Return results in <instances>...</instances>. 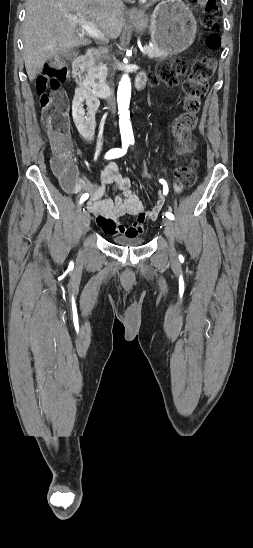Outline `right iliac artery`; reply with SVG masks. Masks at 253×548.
Here are the masks:
<instances>
[{
    "mask_svg": "<svg viewBox=\"0 0 253 548\" xmlns=\"http://www.w3.org/2000/svg\"><path fill=\"white\" fill-rule=\"evenodd\" d=\"M128 146H129L128 141L122 142V148H114L109 150L105 154V159L109 160V159H114V158L123 156L126 153ZM88 197H89V194L87 193L83 194L80 198V203H83L84 201H86Z\"/></svg>",
    "mask_w": 253,
    "mask_h": 548,
    "instance_id": "obj_1",
    "label": "right iliac artery"
}]
</instances>
